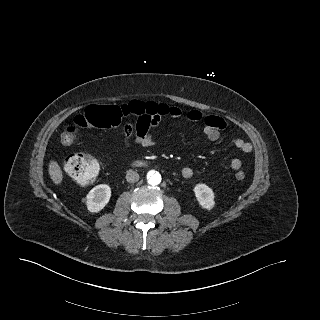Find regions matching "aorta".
<instances>
[{
	"label": "aorta",
	"mask_w": 320,
	"mask_h": 320,
	"mask_svg": "<svg viewBox=\"0 0 320 320\" xmlns=\"http://www.w3.org/2000/svg\"><path fill=\"white\" fill-rule=\"evenodd\" d=\"M147 180L150 185H158L161 183V175L157 171H149L147 174Z\"/></svg>",
	"instance_id": "aorta-1"
}]
</instances>
